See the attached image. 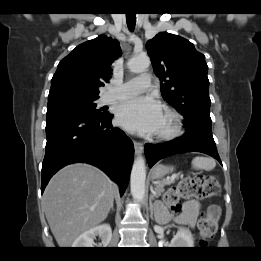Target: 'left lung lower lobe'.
Returning <instances> with one entry per match:
<instances>
[{
	"instance_id": "left-lung-lower-lobe-1",
	"label": "left lung lower lobe",
	"mask_w": 261,
	"mask_h": 261,
	"mask_svg": "<svg viewBox=\"0 0 261 261\" xmlns=\"http://www.w3.org/2000/svg\"><path fill=\"white\" fill-rule=\"evenodd\" d=\"M185 127V134L172 141L161 144H145V155L150 168L160 159L185 152H202L222 164L212 136L211 124L192 122L185 124Z\"/></svg>"
}]
</instances>
